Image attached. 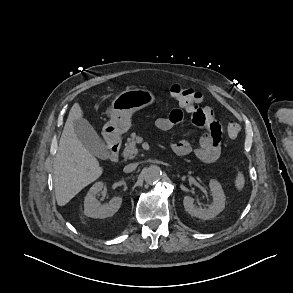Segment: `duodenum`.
<instances>
[{
  "instance_id": "1",
  "label": "duodenum",
  "mask_w": 293,
  "mask_h": 293,
  "mask_svg": "<svg viewBox=\"0 0 293 293\" xmlns=\"http://www.w3.org/2000/svg\"><path fill=\"white\" fill-rule=\"evenodd\" d=\"M108 143V159L112 162H117L120 158V146L121 142L114 136H107Z\"/></svg>"
}]
</instances>
